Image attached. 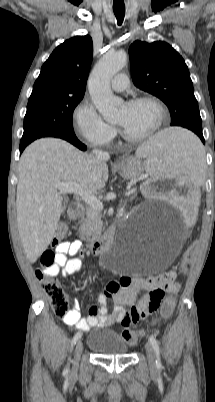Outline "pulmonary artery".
Segmentation results:
<instances>
[{
  "mask_svg": "<svg viewBox=\"0 0 215 402\" xmlns=\"http://www.w3.org/2000/svg\"><path fill=\"white\" fill-rule=\"evenodd\" d=\"M129 80L126 74L119 73L111 81V87L115 91H123L128 87Z\"/></svg>",
  "mask_w": 215,
  "mask_h": 402,
  "instance_id": "pulmonary-artery-1",
  "label": "pulmonary artery"
}]
</instances>
